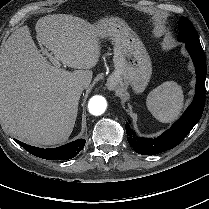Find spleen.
<instances>
[{
	"instance_id": "1",
	"label": "spleen",
	"mask_w": 209,
	"mask_h": 209,
	"mask_svg": "<svg viewBox=\"0 0 209 209\" xmlns=\"http://www.w3.org/2000/svg\"><path fill=\"white\" fill-rule=\"evenodd\" d=\"M183 101L181 86L174 81H167L148 94L146 104L157 120L162 123H171L181 113Z\"/></svg>"
}]
</instances>
